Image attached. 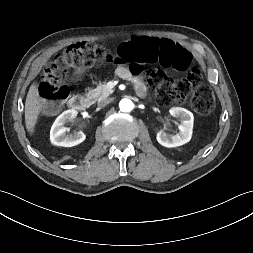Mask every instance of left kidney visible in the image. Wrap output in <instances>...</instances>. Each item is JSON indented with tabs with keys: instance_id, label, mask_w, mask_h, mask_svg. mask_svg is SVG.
Here are the masks:
<instances>
[{
	"instance_id": "obj_1",
	"label": "left kidney",
	"mask_w": 253,
	"mask_h": 253,
	"mask_svg": "<svg viewBox=\"0 0 253 253\" xmlns=\"http://www.w3.org/2000/svg\"><path fill=\"white\" fill-rule=\"evenodd\" d=\"M173 117L179 118V132L176 135L166 134L163 131L157 133L156 139L159 144L167 148L178 147L188 143L192 137L194 116L187 109L172 107L169 110Z\"/></svg>"
}]
</instances>
